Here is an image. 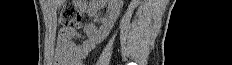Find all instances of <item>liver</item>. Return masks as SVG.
<instances>
[{
    "mask_svg": "<svg viewBox=\"0 0 232 65\" xmlns=\"http://www.w3.org/2000/svg\"><path fill=\"white\" fill-rule=\"evenodd\" d=\"M49 2L50 3H55L56 6H60L64 2V0H50Z\"/></svg>",
    "mask_w": 232,
    "mask_h": 65,
    "instance_id": "liver-1",
    "label": "liver"
}]
</instances>
